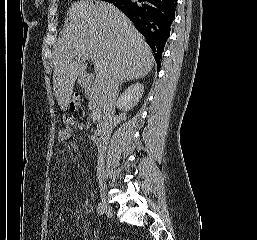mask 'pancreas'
I'll return each mask as SVG.
<instances>
[{
	"mask_svg": "<svg viewBox=\"0 0 257 240\" xmlns=\"http://www.w3.org/2000/svg\"><path fill=\"white\" fill-rule=\"evenodd\" d=\"M85 96L89 100V106L100 114L105 107L103 92L100 89L86 85Z\"/></svg>",
	"mask_w": 257,
	"mask_h": 240,
	"instance_id": "1",
	"label": "pancreas"
}]
</instances>
